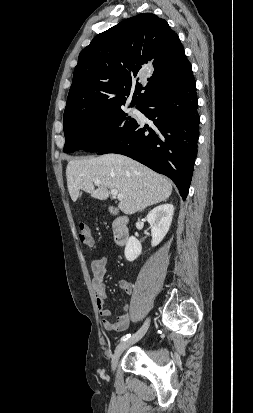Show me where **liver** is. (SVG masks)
<instances>
[{"label":"liver","instance_id":"liver-1","mask_svg":"<svg viewBox=\"0 0 253 413\" xmlns=\"http://www.w3.org/2000/svg\"><path fill=\"white\" fill-rule=\"evenodd\" d=\"M70 197L76 202L80 190L99 200L109 189L123 195L118 207L127 215L165 201L172 193L171 181L143 164L120 154L70 160L66 168ZM101 182L95 189L94 181Z\"/></svg>","mask_w":253,"mask_h":413}]
</instances>
